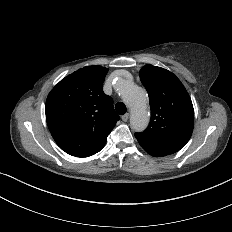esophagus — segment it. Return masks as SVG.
I'll return each instance as SVG.
<instances>
[{
    "label": "esophagus",
    "instance_id": "34e87169",
    "mask_svg": "<svg viewBox=\"0 0 232 232\" xmlns=\"http://www.w3.org/2000/svg\"><path fill=\"white\" fill-rule=\"evenodd\" d=\"M121 119H122V121L127 122L128 119H129V113L124 114V115L121 117Z\"/></svg>",
    "mask_w": 232,
    "mask_h": 232
}]
</instances>
